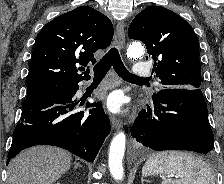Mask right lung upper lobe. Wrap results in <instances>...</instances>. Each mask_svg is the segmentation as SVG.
I'll return each instance as SVG.
<instances>
[{"mask_svg": "<svg viewBox=\"0 0 224 184\" xmlns=\"http://www.w3.org/2000/svg\"><path fill=\"white\" fill-rule=\"evenodd\" d=\"M113 25L102 13L81 6L47 23L36 37L27 86H58L90 79L89 71L78 74L76 63L96 62L93 53L107 48Z\"/></svg>", "mask_w": 224, "mask_h": 184, "instance_id": "right-lung-upper-lobe-1", "label": "right lung upper lobe"}]
</instances>
